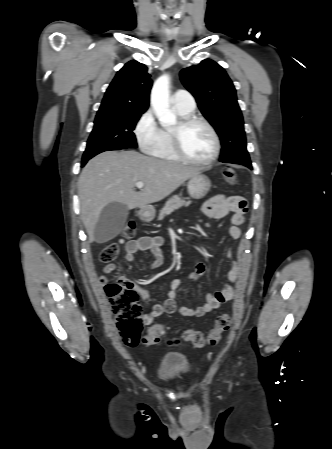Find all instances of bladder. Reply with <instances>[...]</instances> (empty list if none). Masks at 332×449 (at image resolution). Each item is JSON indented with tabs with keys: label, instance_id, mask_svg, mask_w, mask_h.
Returning <instances> with one entry per match:
<instances>
[{
	"label": "bladder",
	"instance_id": "31cf9c89",
	"mask_svg": "<svg viewBox=\"0 0 332 449\" xmlns=\"http://www.w3.org/2000/svg\"><path fill=\"white\" fill-rule=\"evenodd\" d=\"M192 372V364L187 354L180 352L166 353L161 357L157 377L169 381Z\"/></svg>",
	"mask_w": 332,
	"mask_h": 449
}]
</instances>
